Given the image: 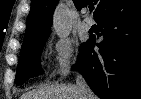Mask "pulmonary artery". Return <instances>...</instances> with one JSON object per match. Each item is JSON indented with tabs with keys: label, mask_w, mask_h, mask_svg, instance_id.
I'll return each instance as SVG.
<instances>
[{
	"label": "pulmonary artery",
	"mask_w": 141,
	"mask_h": 99,
	"mask_svg": "<svg viewBox=\"0 0 141 99\" xmlns=\"http://www.w3.org/2000/svg\"><path fill=\"white\" fill-rule=\"evenodd\" d=\"M93 23H94L93 20L89 16L86 15L82 23V28L85 31H88L93 26Z\"/></svg>",
	"instance_id": "e3ab8cb5"
}]
</instances>
